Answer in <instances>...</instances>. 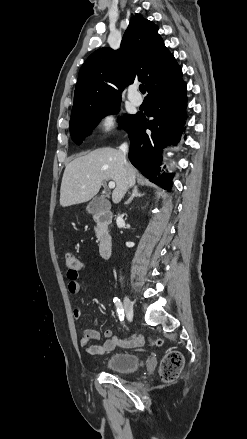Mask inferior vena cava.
Wrapping results in <instances>:
<instances>
[{"label":"inferior vena cava","mask_w":247,"mask_h":439,"mask_svg":"<svg viewBox=\"0 0 247 439\" xmlns=\"http://www.w3.org/2000/svg\"><path fill=\"white\" fill-rule=\"evenodd\" d=\"M120 149H121V151L123 152V154L125 155V154L128 152V145H127L126 143H123V144L120 146ZM119 220H121V217H120V216L117 217V222H118Z\"/></svg>","instance_id":"1"}]
</instances>
